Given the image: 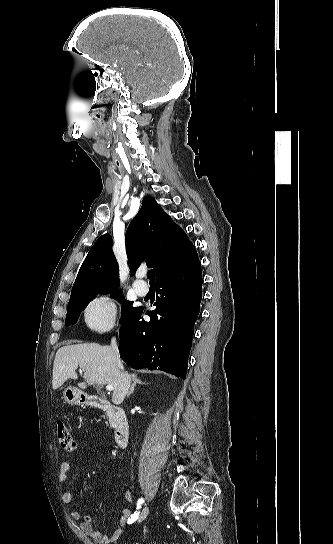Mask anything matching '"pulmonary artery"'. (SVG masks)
I'll return each instance as SVG.
<instances>
[{"mask_svg": "<svg viewBox=\"0 0 333 544\" xmlns=\"http://www.w3.org/2000/svg\"><path fill=\"white\" fill-rule=\"evenodd\" d=\"M143 276V272L139 273L137 279L133 282V288L139 296H145L149 290L147 283L141 279Z\"/></svg>", "mask_w": 333, "mask_h": 544, "instance_id": "obj_1", "label": "pulmonary artery"}]
</instances>
